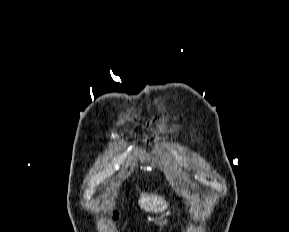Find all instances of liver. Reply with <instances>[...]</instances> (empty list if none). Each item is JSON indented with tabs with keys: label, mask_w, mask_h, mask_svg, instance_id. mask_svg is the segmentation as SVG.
<instances>
[{
	"label": "liver",
	"mask_w": 289,
	"mask_h": 232,
	"mask_svg": "<svg viewBox=\"0 0 289 232\" xmlns=\"http://www.w3.org/2000/svg\"><path fill=\"white\" fill-rule=\"evenodd\" d=\"M140 207L147 212L160 213L167 209L168 202L154 194L142 193L138 201Z\"/></svg>",
	"instance_id": "obj_1"
}]
</instances>
